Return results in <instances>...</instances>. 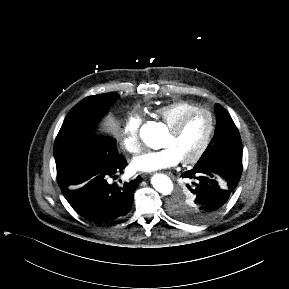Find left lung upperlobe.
Wrapping results in <instances>:
<instances>
[{"label":"left lung upper lobe","mask_w":289,"mask_h":289,"mask_svg":"<svg viewBox=\"0 0 289 289\" xmlns=\"http://www.w3.org/2000/svg\"><path fill=\"white\" fill-rule=\"evenodd\" d=\"M216 129L214 137L194 168H202L223 162L242 163L241 138L231 116L220 104L215 105ZM172 214L189 223H202L188 191L179 194L171 204Z\"/></svg>","instance_id":"1"}]
</instances>
